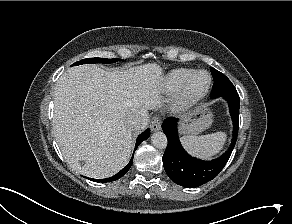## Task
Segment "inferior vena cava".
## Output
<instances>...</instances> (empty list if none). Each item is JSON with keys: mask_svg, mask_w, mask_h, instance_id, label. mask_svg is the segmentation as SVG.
Masks as SVG:
<instances>
[{"mask_svg": "<svg viewBox=\"0 0 292 224\" xmlns=\"http://www.w3.org/2000/svg\"><path fill=\"white\" fill-rule=\"evenodd\" d=\"M127 125H128L130 130L137 131L140 129V120L138 118L131 117L127 121Z\"/></svg>", "mask_w": 292, "mask_h": 224, "instance_id": "inferior-vena-cava-1", "label": "inferior vena cava"}]
</instances>
